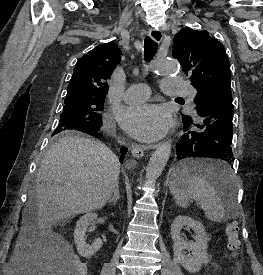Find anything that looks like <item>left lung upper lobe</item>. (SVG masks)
I'll return each mask as SVG.
<instances>
[{"label": "left lung upper lobe", "mask_w": 263, "mask_h": 275, "mask_svg": "<svg viewBox=\"0 0 263 275\" xmlns=\"http://www.w3.org/2000/svg\"><path fill=\"white\" fill-rule=\"evenodd\" d=\"M172 56L189 74L196 88V109L220 92H231L230 64L224 46L208 31L181 29L173 41ZM182 118L191 119L189 116Z\"/></svg>", "instance_id": "5c2ea615"}]
</instances>
